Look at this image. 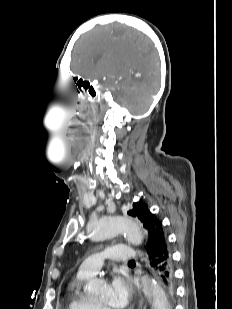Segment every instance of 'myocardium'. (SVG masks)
<instances>
[{
    "label": "myocardium",
    "mask_w": 232,
    "mask_h": 309,
    "mask_svg": "<svg viewBox=\"0 0 232 309\" xmlns=\"http://www.w3.org/2000/svg\"><path fill=\"white\" fill-rule=\"evenodd\" d=\"M95 303H96V305H97L98 309H110V307H109V306L104 305V304H102V303L98 302L97 300L95 301Z\"/></svg>",
    "instance_id": "myocardium-1"
}]
</instances>
